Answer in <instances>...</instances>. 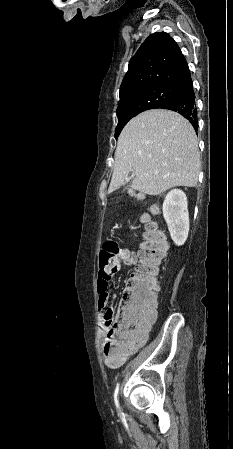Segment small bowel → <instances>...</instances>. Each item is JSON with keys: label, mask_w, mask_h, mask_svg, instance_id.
<instances>
[{"label": "small bowel", "mask_w": 233, "mask_h": 449, "mask_svg": "<svg viewBox=\"0 0 233 449\" xmlns=\"http://www.w3.org/2000/svg\"><path fill=\"white\" fill-rule=\"evenodd\" d=\"M120 262H122L126 266H135L137 263V258H136L135 254H133L127 250V255L120 256V261L117 264V266L115 268L108 270V278L109 279L113 275L116 274V272L120 266ZM114 299H115V295L111 294L109 292H107V294H99V300H98L99 310L103 313H106L109 303L112 302ZM154 319H155V317L149 318L145 323H143L142 327L137 330L134 339L130 343L127 344V351L125 353V357L135 353L140 347H142L145 344V342L149 336L151 325H152ZM99 334H100V340L102 342V349H103L105 342H106V334H107V327L104 323V320L100 324Z\"/></svg>", "instance_id": "1"}]
</instances>
